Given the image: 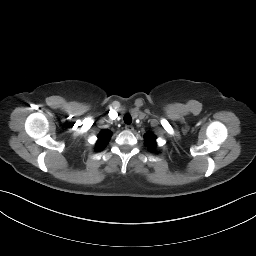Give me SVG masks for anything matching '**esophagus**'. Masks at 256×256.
I'll use <instances>...</instances> for the list:
<instances>
[{"label": "esophagus", "instance_id": "1", "mask_svg": "<svg viewBox=\"0 0 256 256\" xmlns=\"http://www.w3.org/2000/svg\"><path fill=\"white\" fill-rule=\"evenodd\" d=\"M125 129L128 130V131H133L134 127L132 125H126Z\"/></svg>", "mask_w": 256, "mask_h": 256}]
</instances>
